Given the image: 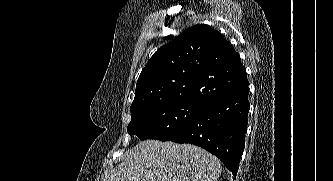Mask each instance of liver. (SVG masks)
Segmentation results:
<instances>
[{"mask_svg":"<svg viewBox=\"0 0 333 181\" xmlns=\"http://www.w3.org/2000/svg\"><path fill=\"white\" fill-rule=\"evenodd\" d=\"M221 172L218 158L198 146L145 140L103 181H217Z\"/></svg>","mask_w":333,"mask_h":181,"instance_id":"liver-1","label":"liver"}]
</instances>
